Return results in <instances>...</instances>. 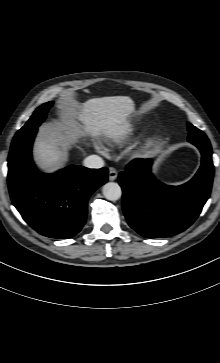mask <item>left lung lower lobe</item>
<instances>
[{
	"label": "left lung lower lobe",
	"instance_id": "0a47b994",
	"mask_svg": "<svg viewBox=\"0 0 220 363\" xmlns=\"http://www.w3.org/2000/svg\"><path fill=\"white\" fill-rule=\"evenodd\" d=\"M202 154L196 175L180 186H167L151 175L150 159H135L119 174L122 205L130 227L147 238L169 237L187 229L210 196L214 166L209 141L189 140Z\"/></svg>",
	"mask_w": 220,
	"mask_h": 363
}]
</instances>
